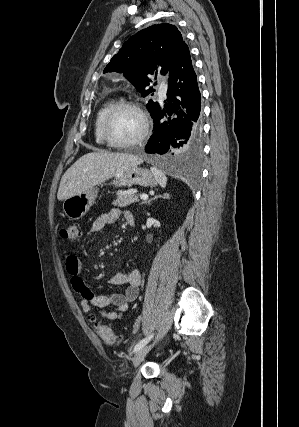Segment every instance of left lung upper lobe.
<instances>
[{
	"instance_id": "left-lung-upper-lobe-1",
	"label": "left lung upper lobe",
	"mask_w": 299,
	"mask_h": 427,
	"mask_svg": "<svg viewBox=\"0 0 299 427\" xmlns=\"http://www.w3.org/2000/svg\"><path fill=\"white\" fill-rule=\"evenodd\" d=\"M183 38L176 26L157 24L130 37L104 69L119 72L132 82L143 97L152 93L156 84L151 75H167ZM150 87V88H149ZM153 95V93H152ZM158 102L149 100L147 109L153 112Z\"/></svg>"
}]
</instances>
